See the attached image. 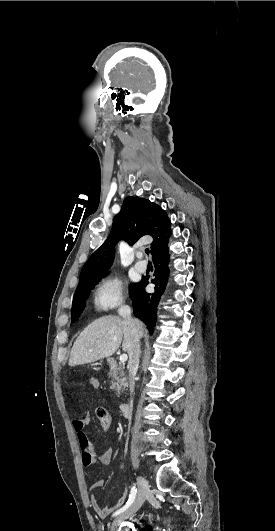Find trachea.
<instances>
[{
    "label": "trachea",
    "mask_w": 275,
    "mask_h": 531,
    "mask_svg": "<svg viewBox=\"0 0 275 531\" xmlns=\"http://www.w3.org/2000/svg\"><path fill=\"white\" fill-rule=\"evenodd\" d=\"M145 252H146V254L148 255V254H149V249H146Z\"/></svg>",
    "instance_id": "3493384b"
}]
</instances>
